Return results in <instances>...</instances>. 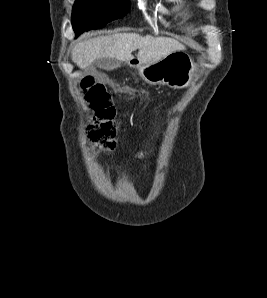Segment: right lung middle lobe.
I'll use <instances>...</instances> for the list:
<instances>
[{
  "instance_id": "dd1d6c3e",
  "label": "right lung middle lobe",
  "mask_w": 267,
  "mask_h": 298,
  "mask_svg": "<svg viewBox=\"0 0 267 298\" xmlns=\"http://www.w3.org/2000/svg\"><path fill=\"white\" fill-rule=\"evenodd\" d=\"M129 8V0H76L72 11L75 34L102 28L108 22L124 17Z\"/></svg>"
}]
</instances>
